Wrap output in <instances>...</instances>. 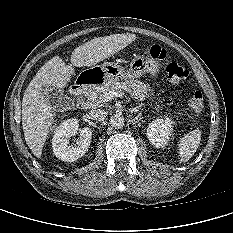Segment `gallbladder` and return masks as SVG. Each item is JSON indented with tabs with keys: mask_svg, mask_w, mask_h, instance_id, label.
Masks as SVG:
<instances>
[{
	"mask_svg": "<svg viewBox=\"0 0 233 233\" xmlns=\"http://www.w3.org/2000/svg\"><path fill=\"white\" fill-rule=\"evenodd\" d=\"M41 92L44 98L50 103L53 109L58 111L67 110L70 107V99L64 91L51 85L42 86Z\"/></svg>",
	"mask_w": 233,
	"mask_h": 233,
	"instance_id": "obj_1",
	"label": "gallbladder"
}]
</instances>
